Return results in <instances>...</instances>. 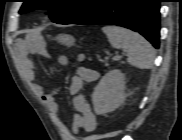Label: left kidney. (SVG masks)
<instances>
[{
  "mask_svg": "<svg viewBox=\"0 0 182 140\" xmlns=\"http://www.w3.org/2000/svg\"><path fill=\"white\" fill-rule=\"evenodd\" d=\"M125 88V76L120 70L106 73L93 91L95 113L101 115L116 110L126 99Z\"/></svg>",
  "mask_w": 182,
  "mask_h": 140,
  "instance_id": "obj_1",
  "label": "left kidney"
}]
</instances>
